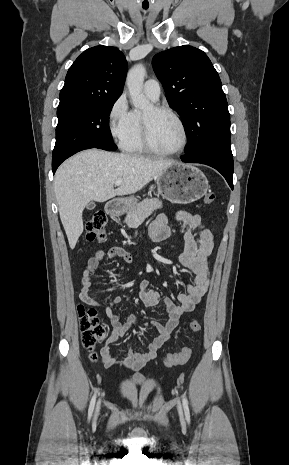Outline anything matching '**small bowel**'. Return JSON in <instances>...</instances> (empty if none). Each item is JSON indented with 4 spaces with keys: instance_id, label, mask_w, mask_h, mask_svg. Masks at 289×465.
Wrapping results in <instances>:
<instances>
[{
    "instance_id": "small-bowel-1",
    "label": "small bowel",
    "mask_w": 289,
    "mask_h": 465,
    "mask_svg": "<svg viewBox=\"0 0 289 465\" xmlns=\"http://www.w3.org/2000/svg\"><path fill=\"white\" fill-rule=\"evenodd\" d=\"M176 221L184 231L186 248L180 256V263L193 272L192 283L188 284L186 291L178 295V304L170 298H164L167 318L164 323L152 320L157 336L148 344L145 352H137L132 344L127 345L128 354L124 361L119 364L132 371H140L150 360L154 359L162 345L169 339L171 332L178 325L180 317L194 310L195 306L206 294L210 284V269L208 258L213 249V238L211 232L204 226L202 218L198 214L186 211H177L173 214H159L150 226V236L156 242L167 240L171 236L170 223ZM122 258L126 263H132L138 255L132 254L121 247L113 246L103 251H98L91 257L86 265L81 279L80 298L91 306L101 308L105 311L111 330L102 347L100 354L105 367H112L117 363L111 352V345L115 344L120 337L124 336L133 327L139 325V319L135 315H128L124 320L120 315L113 313L112 308L121 302V297L116 296L110 302L96 300L91 292L92 276L99 265L105 259ZM139 297L146 307L156 306L160 300V294L150 288L148 280L139 283Z\"/></svg>"
}]
</instances>
